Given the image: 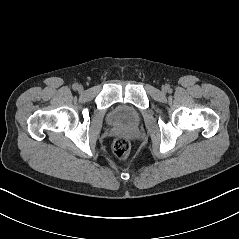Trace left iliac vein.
Wrapping results in <instances>:
<instances>
[{"label":"left iliac vein","instance_id":"left-iliac-vein-1","mask_svg":"<svg viewBox=\"0 0 239 239\" xmlns=\"http://www.w3.org/2000/svg\"><path fill=\"white\" fill-rule=\"evenodd\" d=\"M162 90H163V91H166V90H167V88H166V87H163V88H162Z\"/></svg>","mask_w":239,"mask_h":239}]
</instances>
